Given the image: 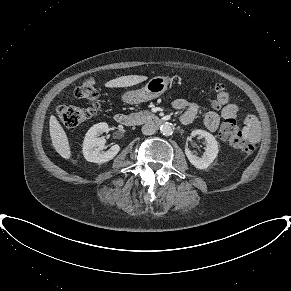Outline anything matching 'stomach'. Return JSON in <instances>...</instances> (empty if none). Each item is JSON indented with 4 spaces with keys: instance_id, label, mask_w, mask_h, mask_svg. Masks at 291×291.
Returning <instances> with one entry per match:
<instances>
[{
    "instance_id": "stomach-1",
    "label": "stomach",
    "mask_w": 291,
    "mask_h": 291,
    "mask_svg": "<svg viewBox=\"0 0 291 291\" xmlns=\"http://www.w3.org/2000/svg\"><path fill=\"white\" fill-rule=\"evenodd\" d=\"M169 82L170 78L167 76L153 77L141 89L125 92L122 100L127 104H138L155 99L167 90Z\"/></svg>"
}]
</instances>
